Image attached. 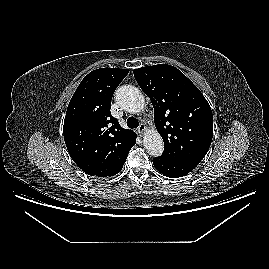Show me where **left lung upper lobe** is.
<instances>
[{"label":"left lung upper lobe","instance_id":"1","mask_svg":"<svg viewBox=\"0 0 269 269\" xmlns=\"http://www.w3.org/2000/svg\"><path fill=\"white\" fill-rule=\"evenodd\" d=\"M133 73L154 107V122L164 141L162 156L199 164L213 137V114L203 94L171 65L142 67Z\"/></svg>","mask_w":269,"mask_h":269}]
</instances>
